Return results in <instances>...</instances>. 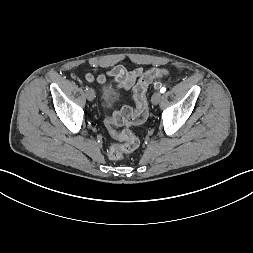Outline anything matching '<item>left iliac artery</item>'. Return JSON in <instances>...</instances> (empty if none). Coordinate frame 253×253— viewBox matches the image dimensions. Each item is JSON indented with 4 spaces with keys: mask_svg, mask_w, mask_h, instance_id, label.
Returning a JSON list of instances; mask_svg holds the SVG:
<instances>
[{
    "mask_svg": "<svg viewBox=\"0 0 253 253\" xmlns=\"http://www.w3.org/2000/svg\"><path fill=\"white\" fill-rule=\"evenodd\" d=\"M166 91V88L165 87H162L161 89H160V92L161 93H164Z\"/></svg>",
    "mask_w": 253,
    "mask_h": 253,
    "instance_id": "left-iliac-artery-1",
    "label": "left iliac artery"
}]
</instances>
